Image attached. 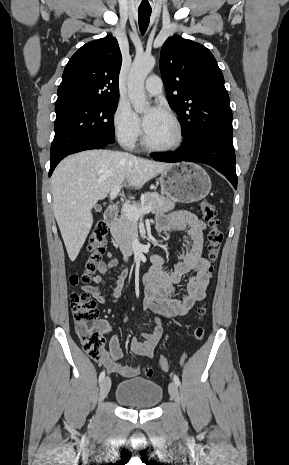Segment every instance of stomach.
<instances>
[{"instance_id": "obj_1", "label": "stomach", "mask_w": 289, "mask_h": 465, "mask_svg": "<svg viewBox=\"0 0 289 465\" xmlns=\"http://www.w3.org/2000/svg\"><path fill=\"white\" fill-rule=\"evenodd\" d=\"M161 191L168 198L193 203L205 198L211 190V179L206 171L197 164L175 163L160 176Z\"/></svg>"}]
</instances>
